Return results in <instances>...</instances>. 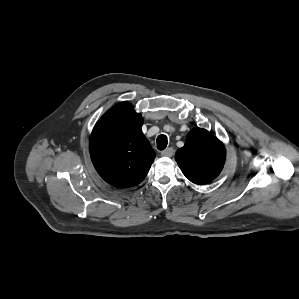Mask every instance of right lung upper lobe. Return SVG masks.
<instances>
[{
	"instance_id": "right-lung-upper-lobe-1",
	"label": "right lung upper lobe",
	"mask_w": 299,
	"mask_h": 299,
	"mask_svg": "<svg viewBox=\"0 0 299 299\" xmlns=\"http://www.w3.org/2000/svg\"><path fill=\"white\" fill-rule=\"evenodd\" d=\"M143 119L128 102L108 110L90 137V156L99 175L109 184L127 188L147 175L155 152L143 135Z\"/></svg>"
}]
</instances>
